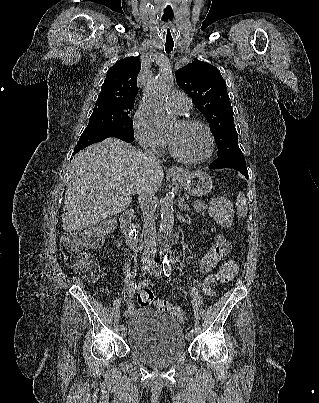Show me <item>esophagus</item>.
Segmentation results:
<instances>
[{"label":"esophagus","mask_w":319,"mask_h":403,"mask_svg":"<svg viewBox=\"0 0 319 403\" xmlns=\"http://www.w3.org/2000/svg\"><path fill=\"white\" fill-rule=\"evenodd\" d=\"M169 171L172 172V173H178V172H180V169L178 167H171L169 169Z\"/></svg>","instance_id":"esophagus-1"}]
</instances>
